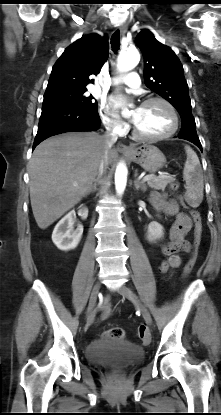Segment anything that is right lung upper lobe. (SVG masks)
Returning a JSON list of instances; mask_svg holds the SVG:
<instances>
[{
  "label": "right lung upper lobe",
  "instance_id": "1",
  "mask_svg": "<svg viewBox=\"0 0 221 415\" xmlns=\"http://www.w3.org/2000/svg\"><path fill=\"white\" fill-rule=\"evenodd\" d=\"M106 36L93 33L82 36L65 49L54 64L46 93L61 90L86 89L94 83L91 75H97L108 58Z\"/></svg>",
  "mask_w": 221,
  "mask_h": 415
}]
</instances>
